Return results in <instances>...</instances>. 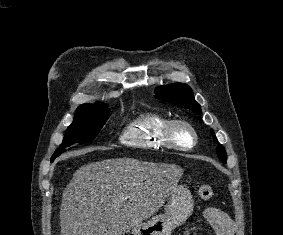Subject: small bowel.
Returning <instances> with one entry per match:
<instances>
[{"label":"small bowel","instance_id":"c3829d8e","mask_svg":"<svg viewBox=\"0 0 283 235\" xmlns=\"http://www.w3.org/2000/svg\"><path fill=\"white\" fill-rule=\"evenodd\" d=\"M203 217L214 228L215 235H232L234 223L225 213L208 207L204 209Z\"/></svg>","mask_w":283,"mask_h":235}]
</instances>
